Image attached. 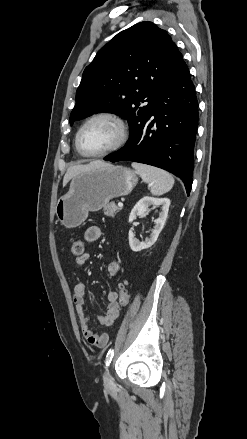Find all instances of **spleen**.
I'll return each instance as SVG.
<instances>
[{
    "label": "spleen",
    "instance_id": "obj_1",
    "mask_svg": "<svg viewBox=\"0 0 247 439\" xmlns=\"http://www.w3.org/2000/svg\"><path fill=\"white\" fill-rule=\"evenodd\" d=\"M132 167L144 182L152 184L151 193L155 196L167 193L174 185V178L167 171L136 162L132 163Z\"/></svg>",
    "mask_w": 247,
    "mask_h": 439
}]
</instances>
